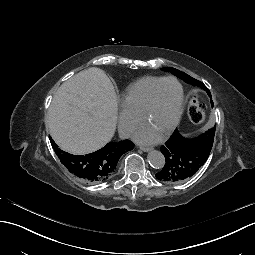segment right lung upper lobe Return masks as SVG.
Returning <instances> with one entry per match:
<instances>
[{
    "label": "right lung upper lobe",
    "mask_w": 255,
    "mask_h": 255,
    "mask_svg": "<svg viewBox=\"0 0 255 255\" xmlns=\"http://www.w3.org/2000/svg\"><path fill=\"white\" fill-rule=\"evenodd\" d=\"M51 143L61 163L69 170V172L74 174L77 178L90 183H98L109 178L114 173L119 158L134 147V144L131 141L123 140L119 142H110L100 150L90 154L72 155L59 149L52 139ZM86 156L96 157L100 160V174L94 176L92 180H85L83 178V169L86 167L83 164V159Z\"/></svg>",
    "instance_id": "obj_1"
}]
</instances>
